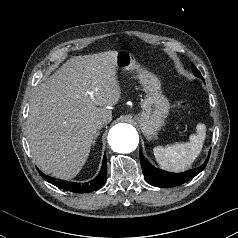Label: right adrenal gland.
<instances>
[{"label":"right adrenal gland","mask_w":238,"mask_h":238,"mask_svg":"<svg viewBox=\"0 0 238 238\" xmlns=\"http://www.w3.org/2000/svg\"><path fill=\"white\" fill-rule=\"evenodd\" d=\"M99 131H100V128H98L97 133H96V135H95V137H94L93 145H95L96 139H97L98 136H99Z\"/></svg>","instance_id":"2a0ac1e0"}]
</instances>
